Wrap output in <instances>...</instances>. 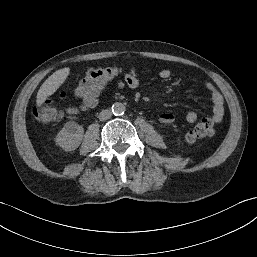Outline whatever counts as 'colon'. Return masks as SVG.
Here are the masks:
<instances>
[{
	"label": "colon",
	"instance_id": "obj_1",
	"mask_svg": "<svg viewBox=\"0 0 257 257\" xmlns=\"http://www.w3.org/2000/svg\"><path fill=\"white\" fill-rule=\"evenodd\" d=\"M126 71V69L115 67L92 68L79 82L76 95L85 106H92L96 103L98 90L105 86L114 75ZM65 97L66 94H61V98ZM33 114L42 123L54 122L61 117L60 109L53 100H46L35 105ZM214 133V122L210 118H203L187 132L186 139L188 142H195L199 139L211 137Z\"/></svg>",
	"mask_w": 257,
	"mask_h": 257
}]
</instances>
